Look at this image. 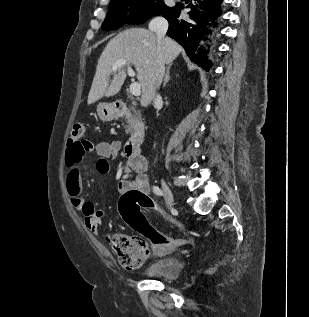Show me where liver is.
I'll use <instances>...</instances> for the list:
<instances>
[{
    "instance_id": "liver-1",
    "label": "liver",
    "mask_w": 309,
    "mask_h": 317,
    "mask_svg": "<svg viewBox=\"0 0 309 317\" xmlns=\"http://www.w3.org/2000/svg\"><path fill=\"white\" fill-rule=\"evenodd\" d=\"M181 52L182 47L177 42L169 38L159 42L152 31L144 28H130L120 32L109 41L98 60L88 105L120 91L126 79V71L124 66L119 67L117 72L112 68L118 60L123 59L135 67L142 89L140 103L141 106H148L155 95L159 55H162L165 64L171 65ZM112 73L113 79L110 80Z\"/></svg>"
}]
</instances>
